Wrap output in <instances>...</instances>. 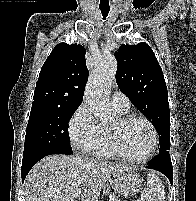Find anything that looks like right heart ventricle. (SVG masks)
Returning <instances> with one entry per match:
<instances>
[{
  "mask_svg": "<svg viewBox=\"0 0 196 201\" xmlns=\"http://www.w3.org/2000/svg\"><path fill=\"white\" fill-rule=\"evenodd\" d=\"M120 115H125L127 112H119ZM103 140L100 146L93 153L98 158L102 159H121L122 157L118 153L111 134V129L108 127H102Z\"/></svg>",
  "mask_w": 196,
  "mask_h": 201,
  "instance_id": "1",
  "label": "right heart ventricle"
}]
</instances>
